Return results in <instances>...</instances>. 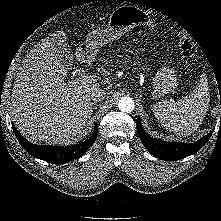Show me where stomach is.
Returning a JSON list of instances; mask_svg holds the SVG:
<instances>
[{"label": "stomach", "mask_w": 221, "mask_h": 221, "mask_svg": "<svg viewBox=\"0 0 221 221\" xmlns=\"http://www.w3.org/2000/svg\"><path fill=\"white\" fill-rule=\"evenodd\" d=\"M152 25L153 20L145 11L134 6L117 7L109 16L106 29H99L90 32L85 42L79 47L84 54L94 55L102 46L114 40H118L136 25ZM177 87V77L170 68L163 67L153 79L154 98H161Z\"/></svg>", "instance_id": "1"}]
</instances>
